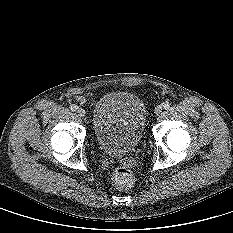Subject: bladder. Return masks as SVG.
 Segmentation results:
<instances>
[{"label": "bladder", "mask_w": 233, "mask_h": 233, "mask_svg": "<svg viewBox=\"0 0 233 233\" xmlns=\"http://www.w3.org/2000/svg\"><path fill=\"white\" fill-rule=\"evenodd\" d=\"M143 101L128 92H111L101 96L93 109V132L99 147L115 157L134 150L146 125Z\"/></svg>", "instance_id": "obj_1"}]
</instances>
